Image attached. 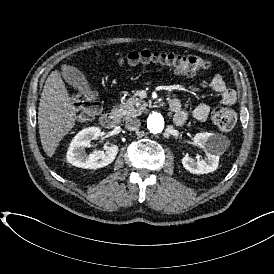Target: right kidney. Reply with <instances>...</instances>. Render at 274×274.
Listing matches in <instances>:
<instances>
[{
    "mask_svg": "<svg viewBox=\"0 0 274 274\" xmlns=\"http://www.w3.org/2000/svg\"><path fill=\"white\" fill-rule=\"evenodd\" d=\"M102 132L99 127H87L79 131L72 139L67 151V161L73 166L84 169H98L112 163L118 153V146L105 147L104 151L85 153V148L90 145L91 140L97 139Z\"/></svg>",
    "mask_w": 274,
    "mask_h": 274,
    "instance_id": "ca27d5eb",
    "label": "right kidney"
}]
</instances>
